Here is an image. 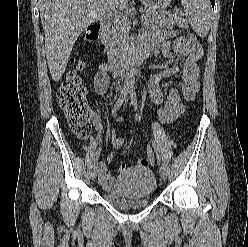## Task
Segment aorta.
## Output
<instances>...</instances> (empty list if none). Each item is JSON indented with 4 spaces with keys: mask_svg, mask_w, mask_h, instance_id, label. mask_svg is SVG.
<instances>
[{
    "mask_svg": "<svg viewBox=\"0 0 248 247\" xmlns=\"http://www.w3.org/2000/svg\"><path fill=\"white\" fill-rule=\"evenodd\" d=\"M136 78V64L134 57L130 54L128 56L126 73H125V86L132 87Z\"/></svg>",
    "mask_w": 248,
    "mask_h": 247,
    "instance_id": "762f6f07",
    "label": "aorta"
}]
</instances>
